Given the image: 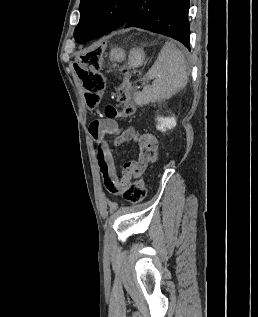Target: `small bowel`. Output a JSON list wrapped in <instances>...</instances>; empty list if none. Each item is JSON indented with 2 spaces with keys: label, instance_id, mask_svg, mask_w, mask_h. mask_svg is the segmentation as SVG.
Returning a JSON list of instances; mask_svg holds the SVG:
<instances>
[{
  "label": "small bowel",
  "instance_id": "obj_1",
  "mask_svg": "<svg viewBox=\"0 0 258 317\" xmlns=\"http://www.w3.org/2000/svg\"><path fill=\"white\" fill-rule=\"evenodd\" d=\"M89 132L97 146L99 171L110 193H123L130 185V181L140 177L157 158L158 141L156 137L134 127L120 128L113 119L101 118L90 124ZM109 136H115V146L129 142L138 143L140 148L138 158L124 164L120 177L117 175L114 157L107 141Z\"/></svg>",
  "mask_w": 258,
  "mask_h": 317
}]
</instances>
